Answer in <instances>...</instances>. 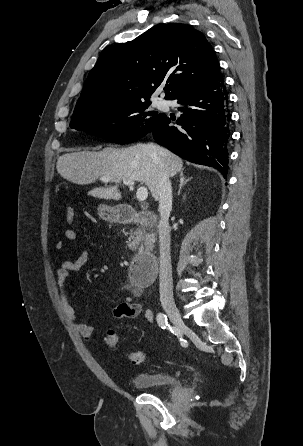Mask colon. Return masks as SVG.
I'll return each mask as SVG.
<instances>
[{
  "label": "colon",
  "instance_id": "obj_1",
  "mask_svg": "<svg viewBox=\"0 0 303 446\" xmlns=\"http://www.w3.org/2000/svg\"><path fill=\"white\" fill-rule=\"evenodd\" d=\"M66 220L69 224H71L74 220V211L70 207L66 209ZM104 341L109 348L114 349L118 345V336L114 330L110 329L106 332ZM144 359L145 354L141 350H133L129 353V361L134 365L142 363Z\"/></svg>",
  "mask_w": 303,
  "mask_h": 446
}]
</instances>
